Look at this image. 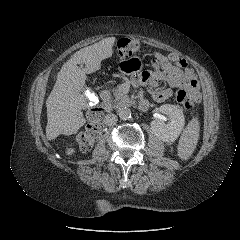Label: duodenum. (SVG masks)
<instances>
[{
    "instance_id": "obj_1",
    "label": "duodenum",
    "mask_w": 240,
    "mask_h": 240,
    "mask_svg": "<svg viewBox=\"0 0 240 240\" xmlns=\"http://www.w3.org/2000/svg\"><path fill=\"white\" fill-rule=\"evenodd\" d=\"M100 96H101V99L103 100V103H104V109L106 111H110L112 107H111V103L109 101V92L107 90H103L100 93ZM140 106L143 109H146L148 107V102L146 100H141L140 101Z\"/></svg>"
}]
</instances>
